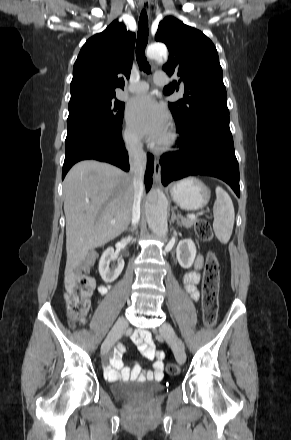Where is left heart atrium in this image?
<instances>
[{"label":"left heart atrium","mask_w":291,"mask_h":440,"mask_svg":"<svg viewBox=\"0 0 291 440\" xmlns=\"http://www.w3.org/2000/svg\"><path fill=\"white\" fill-rule=\"evenodd\" d=\"M127 120L139 136L152 141L162 139L168 130L169 116L166 109L150 95L134 97L127 108Z\"/></svg>","instance_id":"1"}]
</instances>
